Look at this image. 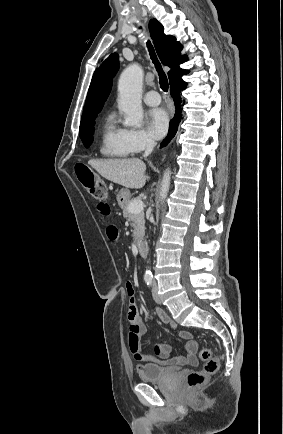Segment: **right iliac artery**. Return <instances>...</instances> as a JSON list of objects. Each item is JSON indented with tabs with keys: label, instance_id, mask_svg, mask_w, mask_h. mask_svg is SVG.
<instances>
[{
	"label": "right iliac artery",
	"instance_id": "right-iliac-artery-1",
	"mask_svg": "<svg viewBox=\"0 0 283 434\" xmlns=\"http://www.w3.org/2000/svg\"><path fill=\"white\" fill-rule=\"evenodd\" d=\"M144 280L148 286H151L152 282H153V277L152 276H145Z\"/></svg>",
	"mask_w": 283,
	"mask_h": 434
}]
</instances>
